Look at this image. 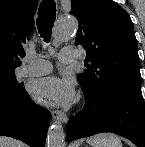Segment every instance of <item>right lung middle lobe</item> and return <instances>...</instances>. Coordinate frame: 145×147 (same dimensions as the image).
<instances>
[{
    "mask_svg": "<svg viewBox=\"0 0 145 147\" xmlns=\"http://www.w3.org/2000/svg\"><path fill=\"white\" fill-rule=\"evenodd\" d=\"M14 74H0V102L17 101L25 94Z\"/></svg>",
    "mask_w": 145,
    "mask_h": 147,
    "instance_id": "dd1d6c3e",
    "label": "right lung middle lobe"
}]
</instances>
